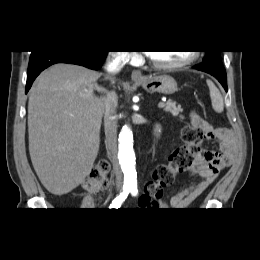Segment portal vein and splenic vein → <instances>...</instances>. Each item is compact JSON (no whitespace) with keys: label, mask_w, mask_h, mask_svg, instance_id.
Returning <instances> with one entry per match:
<instances>
[{"label":"portal vein and splenic vein","mask_w":260,"mask_h":260,"mask_svg":"<svg viewBox=\"0 0 260 260\" xmlns=\"http://www.w3.org/2000/svg\"><path fill=\"white\" fill-rule=\"evenodd\" d=\"M158 107H159V108H164V107H165V103L160 102V103L158 104Z\"/></svg>","instance_id":"18ae733b"}]
</instances>
